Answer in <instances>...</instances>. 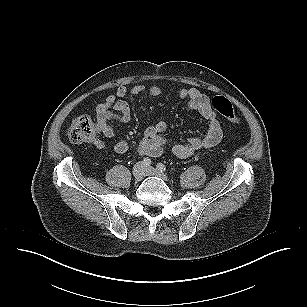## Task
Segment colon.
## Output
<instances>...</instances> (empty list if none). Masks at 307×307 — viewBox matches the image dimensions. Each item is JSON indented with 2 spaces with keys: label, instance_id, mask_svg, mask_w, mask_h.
<instances>
[{
  "label": "colon",
  "instance_id": "colon-1",
  "mask_svg": "<svg viewBox=\"0 0 307 307\" xmlns=\"http://www.w3.org/2000/svg\"><path fill=\"white\" fill-rule=\"evenodd\" d=\"M213 109L222 115L227 121L239 125L241 120L234 111L229 100L222 96H216L211 100ZM69 139L74 143L94 142L98 137V127L95 122L86 115L76 116L69 127Z\"/></svg>",
  "mask_w": 307,
  "mask_h": 307
}]
</instances>
